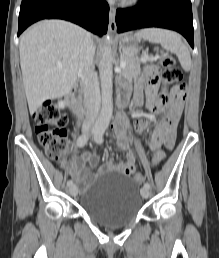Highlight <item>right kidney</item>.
Returning a JSON list of instances; mask_svg holds the SVG:
<instances>
[{
  "mask_svg": "<svg viewBox=\"0 0 219 258\" xmlns=\"http://www.w3.org/2000/svg\"><path fill=\"white\" fill-rule=\"evenodd\" d=\"M58 107L61 108V109H63V108L65 107V102L62 101V100L59 101V102H58Z\"/></svg>",
  "mask_w": 219,
  "mask_h": 258,
  "instance_id": "ca27d5eb",
  "label": "right kidney"
}]
</instances>
